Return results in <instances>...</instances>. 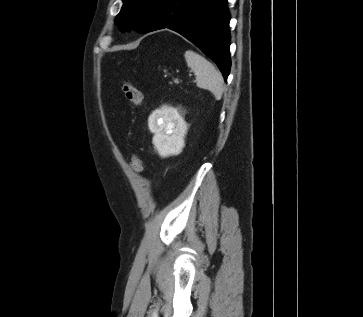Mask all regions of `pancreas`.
Wrapping results in <instances>:
<instances>
[{"instance_id": "cf45deb5", "label": "pancreas", "mask_w": 363, "mask_h": 317, "mask_svg": "<svg viewBox=\"0 0 363 317\" xmlns=\"http://www.w3.org/2000/svg\"><path fill=\"white\" fill-rule=\"evenodd\" d=\"M174 82H175V83H178L179 81H178V79H175V80H174Z\"/></svg>"}]
</instances>
